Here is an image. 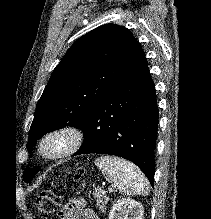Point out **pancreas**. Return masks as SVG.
Instances as JSON below:
<instances>
[{
  "label": "pancreas",
  "instance_id": "obj_1",
  "mask_svg": "<svg viewBox=\"0 0 211 219\" xmlns=\"http://www.w3.org/2000/svg\"><path fill=\"white\" fill-rule=\"evenodd\" d=\"M93 195L96 198V205L99 207L101 211H104L106 209L105 205L107 204L109 198L107 196L102 195L100 191H95Z\"/></svg>",
  "mask_w": 211,
  "mask_h": 219
}]
</instances>
